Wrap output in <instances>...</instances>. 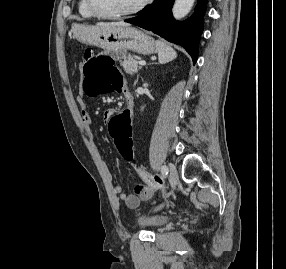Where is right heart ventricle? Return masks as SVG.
I'll return each mask as SVG.
<instances>
[{
	"instance_id": "right-heart-ventricle-1",
	"label": "right heart ventricle",
	"mask_w": 286,
	"mask_h": 269,
	"mask_svg": "<svg viewBox=\"0 0 286 269\" xmlns=\"http://www.w3.org/2000/svg\"><path fill=\"white\" fill-rule=\"evenodd\" d=\"M78 9H79V13L82 17H84V18L94 17V15L88 9L86 0H79Z\"/></svg>"
}]
</instances>
